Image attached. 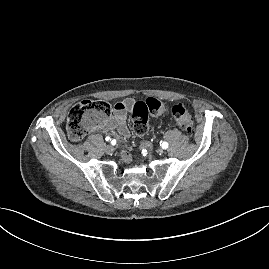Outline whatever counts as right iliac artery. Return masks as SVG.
I'll return each mask as SVG.
<instances>
[{"label": "right iliac artery", "mask_w": 269, "mask_h": 269, "mask_svg": "<svg viewBox=\"0 0 269 269\" xmlns=\"http://www.w3.org/2000/svg\"><path fill=\"white\" fill-rule=\"evenodd\" d=\"M105 140H106V141H111V138H110L109 136H107V137L105 138Z\"/></svg>", "instance_id": "right-iliac-artery-1"}]
</instances>
